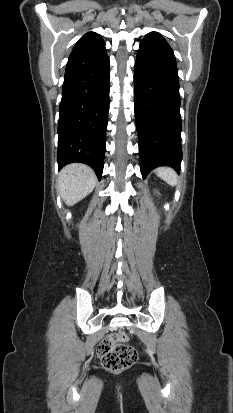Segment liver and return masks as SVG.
<instances>
[{
    "instance_id": "1",
    "label": "liver",
    "mask_w": 233,
    "mask_h": 413,
    "mask_svg": "<svg viewBox=\"0 0 233 413\" xmlns=\"http://www.w3.org/2000/svg\"><path fill=\"white\" fill-rule=\"evenodd\" d=\"M96 185L94 171L80 163L64 167L58 178V188L62 199L72 206L90 194Z\"/></svg>"
}]
</instances>
